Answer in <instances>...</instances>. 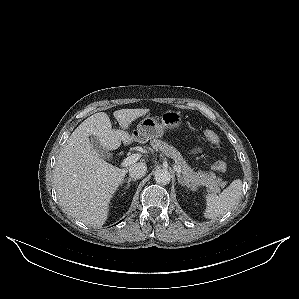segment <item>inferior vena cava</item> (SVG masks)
<instances>
[{
  "label": "inferior vena cava",
  "mask_w": 299,
  "mask_h": 299,
  "mask_svg": "<svg viewBox=\"0 0 299 299\" xmlns=\"http://www.w3.org/2000/svg\"><path fill=\"white\" fill-rule=\"evenodd\" d=\"M147 171V166L145 163L140 162L133 164L129 167V175L134 179L142 178Z\"/></svg>",
  "instance_id": "1"
}]
</instances>
